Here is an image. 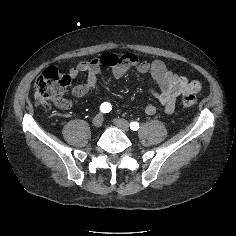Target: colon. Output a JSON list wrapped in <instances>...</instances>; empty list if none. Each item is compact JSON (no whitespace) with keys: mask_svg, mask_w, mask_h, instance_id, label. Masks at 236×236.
Instances as JSON below:
<instances>
[{"mask_svg":"<svg viewBox=\"0 0 236 236\" xmlns=\"http://www.w3.org/2000/svg\"><path fill=\"white\" fill-rule=\"evenodd\" d=\"M70 84L69 75L60 72L55 67L46 68L34 83L35 101L38 106H45L50 101H59L65 89ZM182 103L185 107H192L197 103L193 94L183 96Z\"/></svg>","mask_w":236,"mask_h":236,"instance_id":"obj_1","label":"colon"}]
</instances>
